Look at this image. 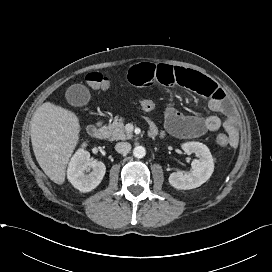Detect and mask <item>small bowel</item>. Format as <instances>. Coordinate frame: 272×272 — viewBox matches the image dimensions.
Masks as SVG:
<instances>
[{
	"instance_id": "1",
	"label": "small bowel",
	"mask_w": 272,
	"mask_h": 272,
	"mask_svg": "<svg viewBox=\"0 0 272 272\" xmlns=\"http://www.w3.org/2000/svg\"><path fill=\"white\" fill-rule=\"evenodd\" d=\"M128 78L138 87L161 84L188 88L206 96L209 99V109L226 117L222 120L217 115L189 116L181 113L171 104H166L163 130H158L148 119L152 135L164 136L168 133L178 138H195L223 128L228 134L230 146L237 147L239 135L233 106L227 100L224 91L213 80L191 69L148 62L134 66L129 71Z\"/></svg>"
}]
</instances>
